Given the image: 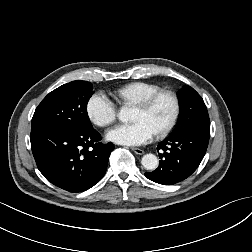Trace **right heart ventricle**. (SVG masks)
<instances>
[{
	"mask_svg": "<svg viewBox=\"0 0 252 252\" xmlns=\"http://www.w3.org/2000/svg\"><path fill=\"white\" fill-rule=\"evenodd\" d=\"M159 90L161 88L152 83L133 82L117 89L114 97L123 103L136 105Z\"/></svg>",
	"mask_w": 252,
	"mask_h": 252,
	"instance_id": "e07e8e85",
	"label": "right heart ventricle"
}]
</instances>
